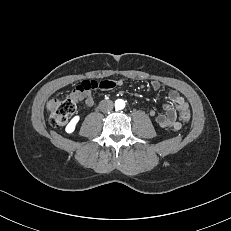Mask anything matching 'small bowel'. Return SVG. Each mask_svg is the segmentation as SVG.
Wrapping results in <instances>:
<instances>
[{
  "instance_id": "1",
  "label": "small bowel",
  "mask_w": 231,
  "mask_h": 231,
  "mask_svg": "<svg viewBox=\"0 0 231 231\" xmlns=\"http://www.w3.org/2000/svg\"><path fill=\"white\" fill-rule=\"evenodd\" d=\"M116 85H123V81L119 80L116 83L110 79L102 81L85 80L75 87L71 95L74 96L76 100L81 101L86 106L90 107L93 105V98L90 94L91 89L100 88L108 90L114 88ZM151 87L154 90H158L161 87V84L158 81L153 80L151 82ZM169 99L171 104H165L163 106L165 112L156 116V122L162 128H172L174 130H179L181 128V123L176 118L177 113H181L184 109H189V106L185 99L175 90L169 92ZM149 115L154 117L156 112L151 110Z\"/></svg>"
}]
</instances>
